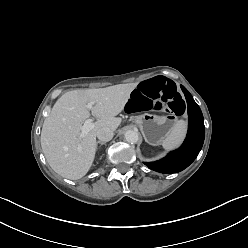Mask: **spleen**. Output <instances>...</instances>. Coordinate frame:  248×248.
Here are the masks:
<instances>
[{"label": "spleen", "mask_w": 248, "mask_h": 248, "mask_svg": "<svg viewBox=\"0 0 248 248\" xmlns=\"http://www.w3.org/2000/svg\"><path fill=\"white\" fill-rule=\"evenodd\" d=\"M186 134V123L183 120L176 122L170 133L163 140L162 146L165 150H171L178 147Z\"/></svg>", "instance_id": "obj_1"}]
</instances>
